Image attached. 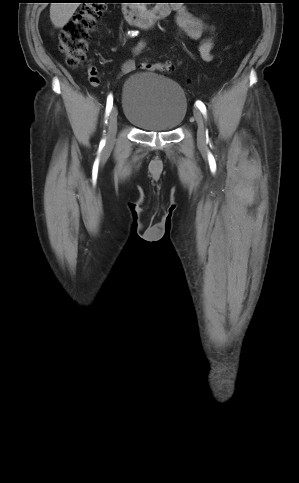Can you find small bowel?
<instances>
[{"label":"small bowel","mask_w":299,"mask_h":483,"mask_svg":"<svg viewBox=\"0 0 299 483\" xmlns=\"http://www.w3.org/2000/svg\"><path fill=\"white\" fill-rule=\"evenodd\" d=\"M175 10V22L179 33L189 37L193 40L200 39L205 33L210 32L209 28L202 17L193 15L188 11V9L183 5H177L174 7ZM146 47V41L141 40L132 48V53L134 55L140 54ZM213 41L211 39L204 40L199 48L201 57L204 61L209 62L212 60ZM135 68V64L132 60L126 61L122 67L120 73L127 74ZM89 79L92 85H96L99 82V77L97 69L93 66L88 68Z\"/></svg>","instance_id":"1"}]
</instances>
